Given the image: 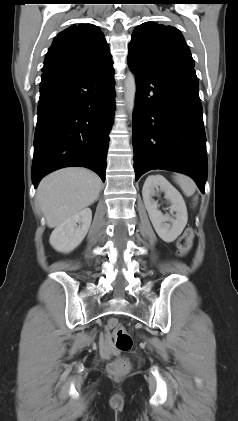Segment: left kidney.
I'll return each instance as SVG.
<instances>
[{
	"instance_id": "obj_1",
	"label": "left kidney",
	"mask_w": 238,
	"mask_h": 421,
	"mask_svg": "<svg viewBox=\"0 0 238 421\" xmlns=\"http://www.w3.org/2000/svg\"><path fill=\"white\" fill-rule=\"evenodd\" d=\"M158 188L165 193V198L171 202L170 212H176L174 218L170 215H163L158 210V204L153 199L156 194L155 189ZM142 196L149 218L158 236L167 243L173 242L182 233L188 221L187 208L181 194L163 176L156 175L149 176L146 179Z\"/></svg>"
}]
</instances>
